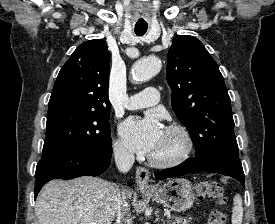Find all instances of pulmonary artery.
Masks as SVG:
<instances>
[{
	"label": "pulmonary artery",
	"instance_id": "e3ab8cb5",
	"mask_svg": "<svg viewBox=\"0 0 275 224\" xmlns=\"http://www.w3.org/2000/svg\"><path fill=\"white\" fill-rule=\"evenodd\" d=\"M160 92L154 87H148L142 92L129 97L126 108L130 110L154 106L158 103Z\"/></svg>",
	"mask_w": 275,
	"mask_h": 224
}]
</instances>
